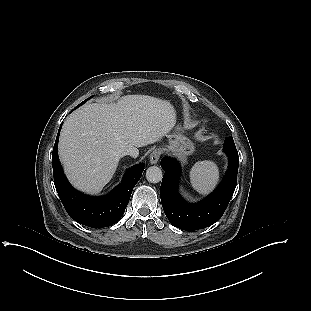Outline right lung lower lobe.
I'll return each mask as SVG.
<instances>
[{
	"label": "right lung lower lobe",
	"instance_id": "98d812e1",
	"mask_svg": "<svg viewBox=\"0 0 311 311\" xmlns=\"http://www.w3.org/2000/svg\"><path fill=\"white\" fill-rule=\"evenodd\" d=\"M62 126V125H61ZM61 126L53 148V174L58 195L69 216L80 224L93 228L115 224L122 217L132 190L140 179L144 164L127 170L120 185L104 197H90L75 190L67 181L58 158V140Z\"/></svg>",
	"mask_w": 311,
	"mask_h": 311
}]
</instances>
